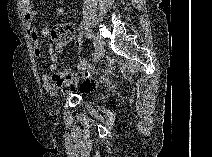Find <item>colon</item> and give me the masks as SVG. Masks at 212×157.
I'll return each instance as SVG.
<instances>
[{
	"label": "colon",
	"mask_w": 212,
	"mask_h": 157,
	"mask_svg": "<svg viewBox=\"0 0 212 157\" xmlns=\"http://www.w3.org/2000/svg\"><path fill=\"white\" fill-rule=\"evenodd\" d=\"M74 35L75 29L70 23H59L54 25L51 29V38L59 47L67 45L72 41ZM51 80L55 87L63 88L66 91L73 90L77 86H79L83 92H90L94 88V84L89 77L79 81L70 70L55 72Z\"/></svg>",
	"instance_id": "1"
}]
</instances>
